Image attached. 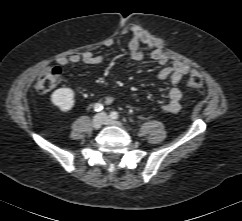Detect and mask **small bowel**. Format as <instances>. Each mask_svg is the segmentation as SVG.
Masks as SVG:
<instances>
[{
  "mask_svg": "<svg viewBox=\"0 0 242 221\" xmlns=\"http://www.w3.org/2000/svg\"><path fill=\"white\" fill-rule=\"evenodd\" d=\"M106 45L111 46L112 42L109 41ZM128 51L130 58L135 61L142 60L146 53L149 52L151 58L162 66L157 74V79L159 81L170 79L173 84H178L189 71V67L182 62H170L165 52L156 47L150 35L142 30H132V38L128 43ZM102 60V56L86 51L82 54L60 57L57 59V63L61 66L76 65L80 62L96 65L101 63ZM113 100L111 95L105 97V103L108 105L111 104ZM181 106L182 92L178 87H172L168 92V100L162 105L161 110L165 113H177L181 109Z\"/></svg>",
  "mask_w": 242,
  "mask_h": 221,
  "instance_id": "small-bowel-1",
  "label": "small bowel"
}]
</instances>
